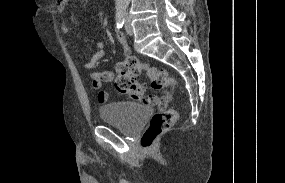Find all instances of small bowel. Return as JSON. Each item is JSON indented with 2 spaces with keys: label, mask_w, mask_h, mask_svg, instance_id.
Masks as SVG:
<instances>
[{
  "label": "small bowel",
  "mask_w": 285,
  "mask_h": 183,
  "mask_svg": "<svg viewBox=\"0 0 285 183\" xmlns=\"http://www.w3.org/2000/svg\"><path fill=\"white\" fill-rule=\"evenodd\" d=\"M70 0H65L61 5L58 6V11L63 12L66 7V3ZM61 30L64 34H71V28L67 24L61 25ZM118 40L123 46L124 56L128 57L130 55V48L126 43L124 35L118 33ZM106 46L105 43L99 41L96 43V51L92 54L88 61L84 63L86 69H93L96 64L105 56ZM114 73L112 71H93L90 73V78L92 80V87L97 90V100L101 104H105L108 101V93L102 89L104 83L112 81ZM168 103V99H167Z\"/></svg>",
  "instance_id": "1"
}]
</instances>
